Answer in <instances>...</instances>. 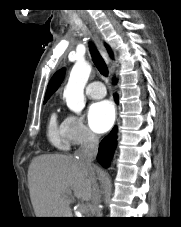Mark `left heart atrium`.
Returning a JSON list of instances; mask_svg holds the SVG:
<instances>
[{
	"instance_id": "obj_1",
	"label": "left heart atrium",
	"mask_w": 181,
	"mask_h": 227,
	"mask_svg": "<svg viewBox=\"0 0 181 227\" xmlns=\"http://www.w3.org/2000/svg\"><path fill=\"white\" fill-rule=\"evenodd\" d=\"M115 120L113 104L108 100L93 103L88 109V122L93 131L104 133L108 131Z\"/></svg>"
}]
</instances>
